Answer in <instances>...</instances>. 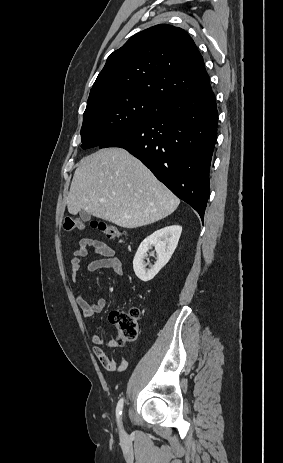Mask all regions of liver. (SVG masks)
<instances>
[{"instance_id": "1", "label": "liver", "mask_w": 283, "mask_h": 463, "mask_svg": "<svg viewBox=\"0 0 283 463\" xmlns=\"http://www.w3.org/2000/svg\"><path fill=\"white\" fill-rule=\"evenodd\" d=\"M179 204V198L122 148L102 149L81 159L67 198L72 215L84 210L130 229L167 217Z\"/></svg>"}]
</instances>
